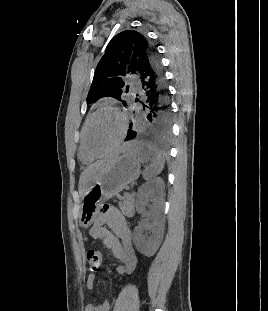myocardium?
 Returning a JSON list of instances; mask_svg holds the SVG:
<instances>
[{"label": "myocardium", "mask_w": 268, "mask_h": 311, "mask_svg": "<svg viewBox=\"0 0 268 311\" xmlns=\"http://www.w3.org/2000/svg\"><path fill=\"white\" fill-rule=\"evenodd\" d=\"M103 111H112L114 112L120 119L121 122V131L120 134L117 138V140L114 142V144L105 152L100 153V154H96L93 153L87 146V142H86V134H87V128L89 126L90 121L100 112ZM127 117L124 114L123 111H121L118 107L113 106V105H102L100 107H98L96 110H94L85 120V123L83 125L82 128V137H81V143L82 146L85 150V152L92 158H101L104 157L108 154H110L111 152H113L116 148L119 147V145L123 142L124 138L126 137L127 134Z\"/></svg>", "instance_id": "obj_1"}]
</instances>
